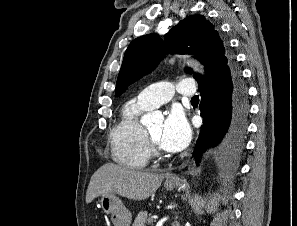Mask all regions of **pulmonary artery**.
<instances>
[{
    "label": "pulmonary artery",
    "instance_id": "obj_1",
    "mask_svg": "<svg viewBox=\"0 0 297 226\" xmlns=\"http://www.w3.org/2000/svg\"><path fill=\"white\" fill-rule=\"evenodd\" d=\"M177 92L185 97H193L195 93V81L193 78H185L179 83L158 82L144 88L138 99L148 108H155L169 102L173 94Z\"/></svg>",
    "mask_w": 297,
    "mask_h": 226
}]
</instances>
